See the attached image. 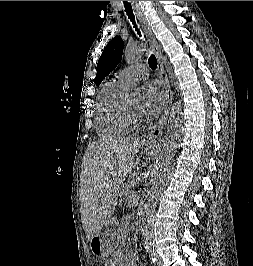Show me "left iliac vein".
Wrapping results in <instances>:
<instances>
[{
    "label": "left iliac vein",
    "instance_id": "obj_1",
    "mask_svg": "<svg viewBox=\"0 0 253 266\" xmlns=\"http://www.w3.org/2000/svg\"><path fill=\"white\" fill-rule=\"evenodd\" d=\"M156 258H157V265L158 266H161V259L158 255H156Z\"/></svg>",
    "mask_w": 253,
    "mask_h": 266
}]
</instances>
